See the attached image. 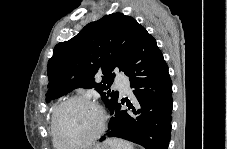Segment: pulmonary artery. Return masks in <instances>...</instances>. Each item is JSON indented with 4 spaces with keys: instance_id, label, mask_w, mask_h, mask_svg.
<instances>
[{
    "instance_id": "e3ab8cb5",
    "label": "pulmonary artery",
    "mask_w": 227,
    "mask_h": 149,
    "mask_svg": "<svg viewBox=\"0 0 227 149\" xmlns=\"http://www.w3.org/2000/svg\"><path fill=\"white\" fill-rule=\"evenodd\" d=\"M114 86L123 93L128 94L130 92L128 81L124 76H118L114 82Z\"/></svg>"
}]
</instances>
